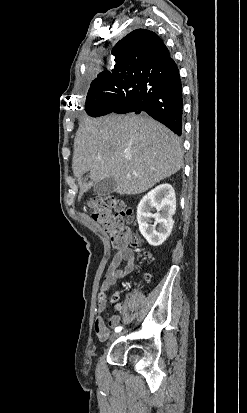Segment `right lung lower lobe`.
<instances>
[{
  "mask_svg": "<svg viewBox=\"0 0 247 413\" xmlns=\"http://www.w3.org/2000/svg\"><path fill=\"white\" fill-rule=\"evenodd\" d=\"M123 82L124 91L108 100L95 117L111 112H145L177 135L182 134V85L173 59L159 72L128 75Z\"/></svg>",
  "mask_w": 247,
  "mask_h": 413,
  "instance_id": "98d812e1",
  "label": "right lung lower lobe"
}]
</instances>
